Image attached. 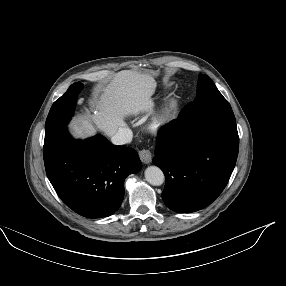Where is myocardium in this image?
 Returning <instances> with one entry per match:
<instances>
[{
  "mask_svg": "<svg viewBox=\"0 0 286 286\" xmlns=\"http://www.w3.org/2000/svg\"><path fill=\"white\" fill-rule=\"evenodd\" d=\"M174 106V101L170 100L167 107L165 108V112H168Z\"/></svg>",
  "mask_w": 286,
  "mask_h": 286,
  "instance_id": "f54148a6",
  "label": "myocardium"
}]
</instances>
